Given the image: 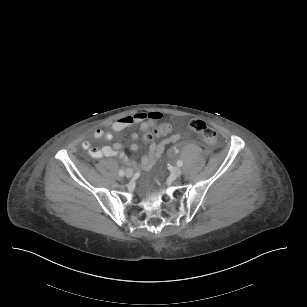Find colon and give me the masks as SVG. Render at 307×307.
Listing matches in <instances>:
<instances>
[{
  "label": "colon",
  "mask_w": 307,
  "mask_h": 307,
  "mask_svg": "<svg viewBox=\"0 0 307 307\" xmlns=\"http://www.w3.org/2000/svg\"><path fill=\"white\" fill-rule=\"evenodd\" d=\"M189 128L192 131L198 132L202 134L208 144L214 145L218 141V135L215 130L209 127L204 121L201 119H191L188 123ZM172 130L171 125L166 124L159 127L153 128L152 132H147L144 135L145 140L152 141L154 140L155 136L158 135H165L170 133Z\"/></svg>",
  "instance_id": "colon-1"
}]
</instances>
